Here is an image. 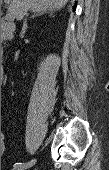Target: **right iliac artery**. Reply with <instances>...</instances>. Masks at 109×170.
I'll list each match as a JSON object with an SVG mask.
<instances>
[{
    "label": "right iliac artery",
    "instance_id": "1",
    "mask_svg": "<svg viewBox=\"0 0 109 170\" xmlns=\"http://www.w3.org/2000/svg\"><path fill=\"white\" fill-rule=\"evenodd\" d=\"M35 159L31 160L30 162L27 163H15L14 164V168H18V167H31L35 164Z\"/></svg>",
    "mask_w": 109,
    "mask_h": 170
}]
</instances>
